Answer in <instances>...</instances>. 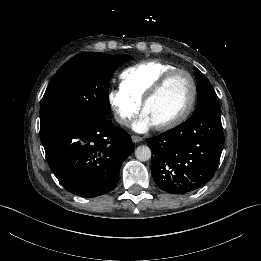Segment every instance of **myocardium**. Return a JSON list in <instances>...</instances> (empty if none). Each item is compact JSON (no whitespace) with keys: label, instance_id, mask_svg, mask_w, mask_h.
<instances>
[{"label":"myocardium","instance_id":"f54148a6","mask_svg":"<svg viewBox=\"0 0 261 261\" xmlns=\"http://www.w3.org/2000/svg\"><path fill=\"white\" fill-rule=\"evenodd\" d=\"M184 74L187 76L190 85H191V97L190 100L188 102V104L186 105V107L184 108V110L175 118L166 121L162 124H158V125H154L155 128L157 130H169L172 128L177 127L178 125H180L191 113V111L194 108L195 102H196V98H197V85L196 82L193 78V76L186 70L183 69H173L171 71H168L167 73H165L150 89V91L148 92V94L144 97L143 101H142V105H141V109L142 112H144L145 108L147 107V105L152 102L162 91L163 89L166 87V85L168 84V82L172 79V77L176 74Z\"/></svg>","mask_w":261,"mask_h":261}]
</instances>
